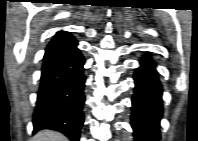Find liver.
<instances>
[{
  "label": "liver",
  "mask_w": 198,
  "mask_h": 141,
  "mask_svg": "<svg viewBox=\"0 0 198 141\" xmlns=\"http://www.w3.org/2000/svg\"><path fill=\"white\" fill-rule=\"evenodd\" d=\"M33 141H67V138L58 132L43 130L34 136Z\"/></svg>",
  "instance_id": "6515ba94"
}]
</instances>
